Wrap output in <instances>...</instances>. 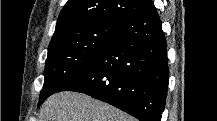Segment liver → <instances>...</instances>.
Here are the masks:
<instances>
[{
  "label": "liver",
  "instance_id": "6515ba94",
  "mask_svg": "<svg viewBox=\"0 0 217 121\" xmlns=\"http://www.w3.org/2000/svg\"><path fill=\"white\" fill-rule=\"evenodd\" d=\"M39 121H135L117 108L76 92L51 95L43 104Z\"/></svg>",
  "mask_w": 217,
  "mask_h": 121
}]
</instances>
